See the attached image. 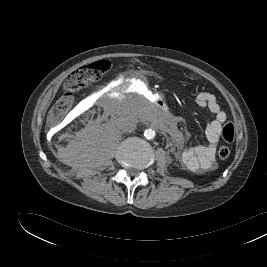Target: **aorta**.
I'll list each match as a JSON object with an SVG mask.
<instances>
[{"label": "aorta", "instance_id": "aorta-1", "mask_svg": "<svg viewBox=\"0 0 267 267\" xmlns=\"http://www.w3.org/2000/svg\"><path fill=\"white\" fill-rule=\"evenodd\" d=\"M144 136L146 139L151 140L155 137V131L153 129H147L144 132Z\"/></svg>", "mask_w": 267, "mask_h": 267}]
</instances>
